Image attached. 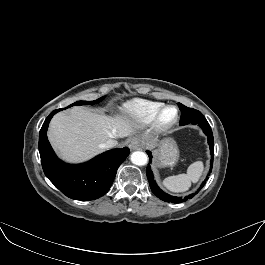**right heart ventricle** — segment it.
Returning <instances> with one entry per match:
<instances>
[{"label": "right heart ventricle", "instance_id": "right-heart-ventricle-1", "mask_svg": "<svg viewBox=\"0 0 265 265\" xmlns=\"http://www.w3.org/2000/svg\"><path fill=\"white\" fill-rule=\"evenodd\" d=\"M163 103L149 100H134L127 104L124 113L135 123L146 125L153 121Z\"/></svg>", "mask_w": 265, "mask_h": 265}]
</instances>
